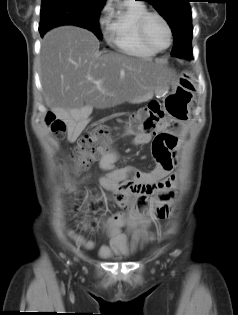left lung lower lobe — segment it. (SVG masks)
<instances>
[{
	"instance_id": "obj_1",
	"label": "left lung lower lobe",
	"mask_w": 238,
	"mask_h": 315,
	"mask_svg": "<svg viewBox=\"0 0 238 315\" xmlns=\"http://www.w3.org/2000/svg\"><path fill=\"white\" fill-rule=\"evenodd\" d=\"M171 54L180 58L192 59L191 41L183 35H175Z\"/></svg>"
}]
</instances>
